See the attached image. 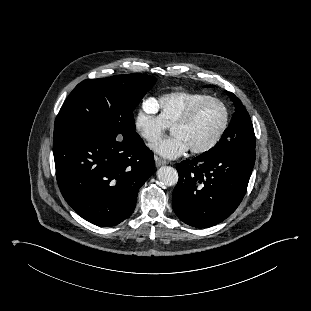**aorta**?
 Here are the masks:
<instances>
[{
    "mask_svg": "<svg viewBox=\"0 0 311 311\" xmlns=\"http://www.w3.org/2000/svg\"><path fill=\"white\" fill-rule=\"evenodd\" d=\"M159 181L166 186H174L178 182V173L171 166H162L157 170Z\"/></svg>",
    "mask_w": 311,
    "mask_h": 311,
    "instance_id": "obj_1",
    "label": "aorta"
}]
</instances>
